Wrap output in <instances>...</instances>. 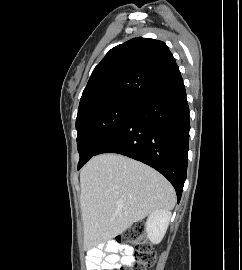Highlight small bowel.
<instances>
[{"mask_svg":"<svg viewBox=\"0 0 242 270\" xmlns=\"http://www.w3.org/2000/svg\"><path fill=\"white\" fill-rule=\"evenodd\" d=\"M133 263V249L117 242H110L91 250L86 264L91 270H117L121 265Z\"/></svg>","mask_w":242,"mask_h":270,"instance_id":"obj_1","label":"small bowel"}]
</instances>
